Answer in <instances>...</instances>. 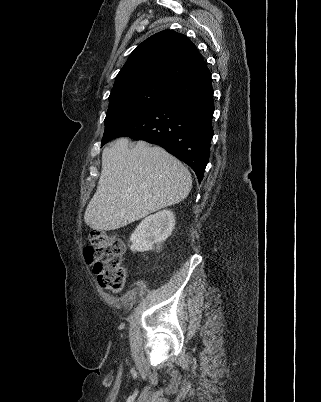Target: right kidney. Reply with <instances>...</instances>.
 I'll return each instance as SVG.
<instances>
[{
	"label": "right kidney",
	"mask_w": 321,
	"mask_h": 402,
	"mask_svg": "<svg viewBox=\"0 0 321 402\" xmlns=\"http://www.w3.org/2000/svg\"><path fill=\"white\" fill-rule=\"evenodd\" d=\"M174 226L175 216L170 210H162L147 216L131 234V251L145 252L161 246L171 235Z\"/></svg>",
	"instance_id": "1"
}]
</instances>
